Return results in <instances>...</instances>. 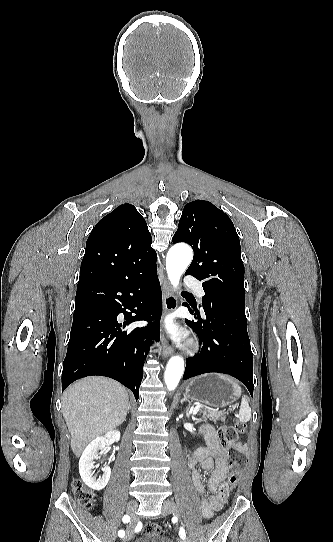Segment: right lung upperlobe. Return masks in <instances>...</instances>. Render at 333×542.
I'll list each match as a JSON object with an SVG mask.
<instances>
[{"label":"right lung upper lobe","mask_w":333,"mask_h":542,"mask_svg":"<svg viewBox=\"0 0 333 542\" xmlns=\"http://www.w3.org/2000/svg\"><path fill=\"white\" fill-rule=\"evenodd\" d=\"M151 242L145 219L133 205L123 204L95 225L87 240L86 249H107L116 253L132 248L155 252ZM125 277V271L121 269L92 271L80 268L78 283L97 280L114 282Z\"/></svg>","instance_id":"cb5924a9"}]
</instances>
